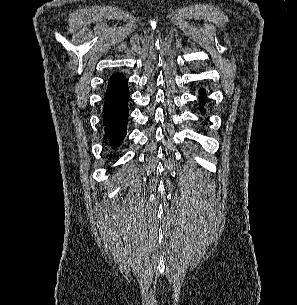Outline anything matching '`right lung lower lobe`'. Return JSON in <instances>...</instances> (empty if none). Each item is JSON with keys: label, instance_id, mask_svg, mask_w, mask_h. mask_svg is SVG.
<instances>
[{"label": "right lung lower lobe", "instance_id": "1", "mask_svg": "<svg viewBox=\"0 0 297 305\" xmlns=\"http://www.w3.org/2000/svg\"><path fill=\"white\" fill-rule=\"evenodd\" d=\"M129 89L126 78L115 73L109 79L104 101V125L112 148L118 147L127 129Z\"/></svg>", "mask_w": 297, "mask_h": 305}]
</instances>
